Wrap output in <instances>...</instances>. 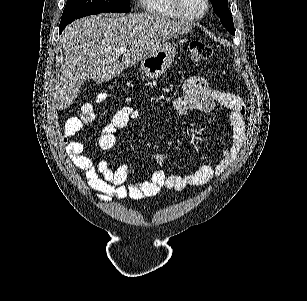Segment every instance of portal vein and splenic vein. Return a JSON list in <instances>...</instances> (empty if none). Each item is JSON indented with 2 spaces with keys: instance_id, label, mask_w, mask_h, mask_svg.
Listing matches in <instances>:
<instances>
[{
  "instance_id": "portal-vein-and-splenic-vein-1",
  "label": "portal vein and splenic vein",
  "mask_w": 307,
  "mask_h": 301,
  "mask_svg": "<svg viewBox=\"0 0 307 301\" xmlns=\"http://www.w3.org/2000/svg\"><path fill=\"white\" fill-rule=\"evenodd\" d=\"M116 52H126L127 46H119V48H115Z\"/></svg>"
}]
</instances>
